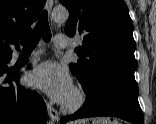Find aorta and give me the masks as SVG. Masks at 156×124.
I'll return each instance as SVG.
<instances>
[{"label": "aorta", "instance_id": "762f6f07", "mask_svg": "<svg viewBox=\"0 0 156 124\" xmlns=\"http://www.w3.org/2000/svg\"><path fill=\"white\" fill-rule=\"evenodd\" d=\"M68 16H69L68 10L63 7L54 8L52 11V18L57 23L66 22L68 19ZM49 124H53V123L49 122Z\"/></svg>", "mask_w": 156, "mask_h": 124}]
</instances>
